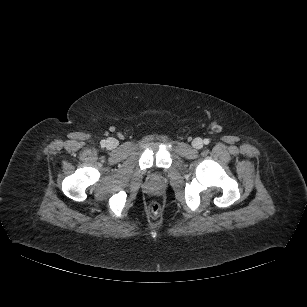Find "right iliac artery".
<instances>
[{
  "label": "right iliac artery",
  "mask_w": 307,
  "mask_h": 307,
  "mask_svg": "<svg viewBox=\"0 0 307 307\" xmlns=\"http://www.w3.org/2000/svg\"><path fill=\"white\" fill-rule=\"evenodd\" d=\"M100 144H101V146H105V145H106V141H105V140H102V141L100 142Z\"/></svg>",
  "instance_id": "obj_1"
}]
</instances>
